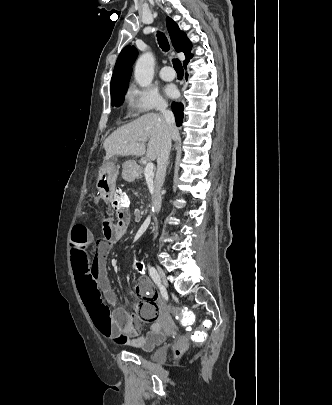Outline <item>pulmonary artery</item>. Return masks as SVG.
<instances>
[{"label": "pulmonary artery", "mask_w": 332, "mask_h": 405, "mask_svg": "<svg viewBox=\"0 0 332 405\" xmlns=\"http://www.w3.org/2000/svg\"><path fill=\"white\" fill-rule=\"evenodd\" d=\"M160 77L165 81H171L175 78L176 74L170 66H164L160 69Z\"/></svg>", "instance_id": "e3ab8cb5"}]
</instances>
